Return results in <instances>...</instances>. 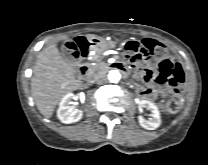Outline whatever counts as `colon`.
I'll list each match as a JSON object with an SVG mask.
<instances>
[{
    "label": "colon",
    "mask_w": 208,
    "mask_h": 165,
    "mask_svg": "<svg viewBox=\"0 0 208 165\" xmlns=\"http://www.w3.org/2000/svg\"><path fill=\"white\" fill-rule=\"evenodd\" d=\"M66 51L72 56H76L84 51V43L70 42L66 45ZM126 56L131 62L148 66L152 59L159 60L163 56H167V50L165 46L152 39H143L142 41L131 40L126 42L124 46ZM183 83L176 88H172L173 95L164 103V108L169 112H175L180 107V93L183 89Z\"/></svg>",
    "instance_id": "obj_1"
}]
</instances>
